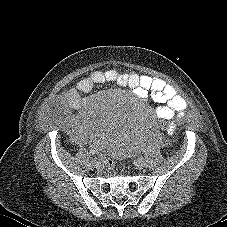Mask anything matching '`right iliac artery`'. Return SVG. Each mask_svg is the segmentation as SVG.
Listing matches in <instances>:
<instances>
[{
    "mask_svg": "<svg viewBox=\"0 0 227 227\" xmlns=\"http://www.w3.org/2000/svg\"><path fill=\"white\" fill-rule=\"evenodd\" d=\"M90 153H91L92 155H94L96 152H95L94 150H90ZM96 160H97V158L94 159V161H96Z\"/></svg>",
    "mask_w": 227,
    "mask_h": 227,
    "instance_id": "82829eb1",
    "label": "right iliac artery"
}]
</instances>
